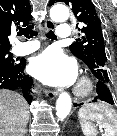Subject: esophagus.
Wrapping results in <instances>:
<instances>
[{"label":"esophagus","instance_id":"1","mask_svg":"<svg viewBox=\"0 0 117 136\" xmlns=\"http://www.w3.org/2000/svg\"><path fill=\"white\" fill-rule=\"evenodd\" d=\"M53 29H55V23L51 20H46L45 21V30L49 31V30H53ZM45 94L49 100H54L58 95V91L46 90Z\"/></svg>","mask_w":117,"mask_h":136}]
</instances>
